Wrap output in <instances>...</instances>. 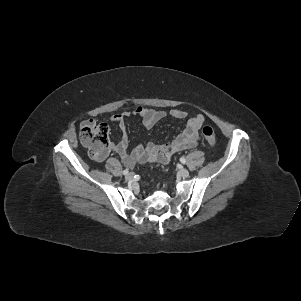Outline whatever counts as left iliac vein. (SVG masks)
I'll use <instances>...</instances> for the list:
<instances>
[{"mask_svg": "<svg viewBox=\"0 0 301 301\" xmlns=\"http://www.w3.org/2000/svg\"><path fill=\"white\" fill-rule=\"evenodd\" d=\"M179 175L183 178H186L189 176V171L185 168H180Z\"/></svg>", "mask_w": 301, "mask_h": 301, "instance_id": "1", "label": "left iliac vein"}]
</instances>
